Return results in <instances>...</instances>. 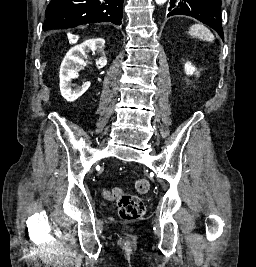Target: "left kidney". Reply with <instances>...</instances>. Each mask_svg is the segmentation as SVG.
<instances>
[{
    "mask_svg": "<svg viewBox=\"0 0 256 267\" xmlns=\"http://www.w3.org/2000/svg\"><path fill=\"white\" fill-rule=\"evenodd\" d=\"M184 70H185V74H187V76H192V74H199V72H197V68H195V66H192L191 62H186V64H184Z\"/></svg>",
    "mask_w": 256,
    "mask_h": 267,
    "instance_id": "obj_1",
    "label": "left kidney"
}]
</instances>
